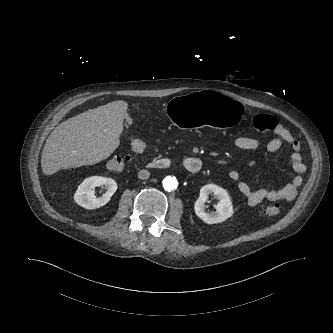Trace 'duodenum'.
<instances>
[{
  "instance_id": "obj_1",
  "label": "duodenum",
  "mask_w": 333,
  "mask_h": 333,
  "mask_svg": "<svg viewBox=\"0 0 333 333\" xmlns=\"http://www.w3.org/2000/svg\"><path fill=\"white\" fill-rule=\"evenodd\" d=\"M171 165L170 160L166 158L155 159L149 163V168L164 170L169 168ZM183 168L192 174L198 173L202 169V161L197 157H187L182 161Z\"/></svg>"
}]
</instances>
